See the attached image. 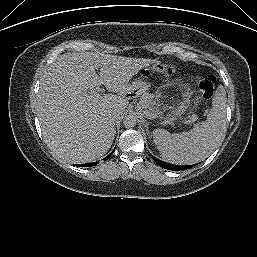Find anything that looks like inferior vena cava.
Instances as JSON below:
<instances>
[{"label":"inferior vena cava","instance_id":"1","mask_svg":"<svg viewBox=\"0 0 257 257\" xmlns=\"http://www.w3.org/2000/svg\"><path fill=\"white\" fill-rule=\"evenodd\" d=\"M121 117V114L120 113H117V112H114L110 115V120L112 122H117Z\"/></svg>","mask_w":257,"mask_h":257}]
</instances>
